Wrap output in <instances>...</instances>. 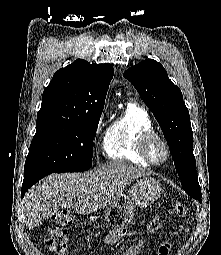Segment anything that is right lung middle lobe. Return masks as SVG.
Returning <instances> with one entry per match:
<instances>
[{
	"instance_id": "dd1d6c3e",
	"label": "right lung middle lobe",
	"mask_w": 221,
	"mask_h": 255,
	"mask_svg": "<svg viewBox=\"0 0 221 255\" xmlns=\"http://www.w3.org/2000/svg\"><path fill=\"white\" fill-rule=\"evenodd\" d=\"M101 112L86 117L38 116L24 174L89 169L92 166L93 139Z\"/></svg>"
}]
</instances>
